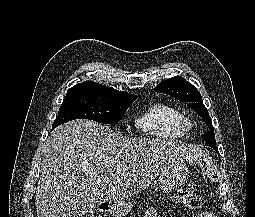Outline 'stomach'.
Returning a JSON list of instances; mask_svg holds the SVG:
<instances>
[{
	"label": "stomach",
	"instance_id": "stomach-1",
	"mask_svg": "<svg viewBox=\"0 0 255 217\" xmlns=\"http://www.w3.org/2000/svg\"><path fill=\"white\" fill-rule=\"evenodd\" d=\"M189 172L183 162H178L171 168L163 170L158 177L159 187L165 192H172L180 187L188 179ZM133 208V205L122 199L109 202V213L113 217H125Z\"/></svg>",
	"mask_w": 255,
	"mask_h": 217
}]
</instances>
